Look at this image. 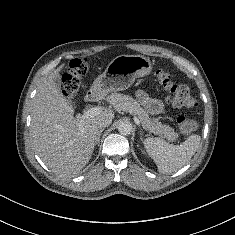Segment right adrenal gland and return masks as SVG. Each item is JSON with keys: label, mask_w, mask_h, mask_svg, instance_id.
<instances>
[{"label": "right adrenal gland", "mask_w": 235, "mask_h": 235, "mask_svg": "<svg viewBox=\"0 0 235 235\" xmlns=\"http://www.w3.org/2000/svg\"><path fill=\"white\" fill-rule=\"evenodd\" d=\"M103 131H104V128H101V129L98 131L97 137H96V141H95L96 145H99V143H100V137H101V134H102Z\"/></svg>", "instance_id": "1"}]
</instances>
